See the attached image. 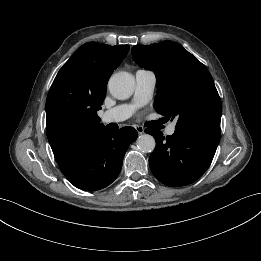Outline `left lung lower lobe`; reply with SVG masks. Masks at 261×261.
Returning <instances> with one entry per match:
<instances>
[{
  "label": "left lung lower lobe",
  "mask_w": 261,
  "mask_h": 261,
  "mask_svg": "<svg viewBox=\"0 0 261 261\" xmlns=\"http://www.w3.org/2000/svg\"><path fill=\"white\" fill-rule=\"evenodd\" d=\"M156 147L149 158L153 175L171 187L185 186L200 178L210 166L220 136L175 130L166 138L162 132L146 129Z\"/></svg>",
  "instance_id": "1"
}]
</instances>
